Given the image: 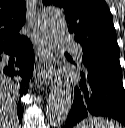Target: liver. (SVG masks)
<instances>
[{
	"label": "liver",
	"mask_w": 125,
	"mask_h": 128,
	"mask_svg": "<svg viewBox=\"0 0 125 128\" xmlns=\"http://www.w3.org/2000/svg\"><path fill=\"white\" fill-rule=\"evenodd\" d=\"M16 92L10 80L0 76V128H18Z\"/></svg>",
	"instance_id": "6515ba94"
}]
</instances>
